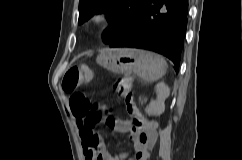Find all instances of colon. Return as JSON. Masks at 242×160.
I'll list each match as a JSON object with an SVG mask.
<instances>
[{
	"instance_id": "colon-1",
	"label": "colon",
	"mask_w": 242,
	"mask_h": 160,
	"mask_svg": "<svg viewBox=\"0 0 242 160\" xmlns=\"http://www.w3.org/2000/svg\"><path fill=\"white\" fill-rule=\"evenodd\" d=\"M91 79V72L85 65H74L70 67L64 75L62 89L67 93H72L70 98V109L75 117L80 120V124L87 130L83 133L88 144L97 140L95 126L101 120V114L92 108L87 97L78 92L83 84ZM115 92L124 99L127 112L133 118L141 114L132 99V82L129 77L118 79L114 84Z\"/></svg>"
}]
</instances>
